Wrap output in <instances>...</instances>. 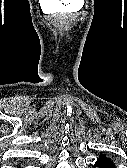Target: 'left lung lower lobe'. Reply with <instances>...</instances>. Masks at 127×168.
Returning a JSON list of instances; mask_svg holds the SVG:
<instances>
[{"instance_id": "1", "label": "left lung lower lobe", "mask_w": 127, "mask_h": 168, "mask_svg": "<svg viewBox=\"0 0 127 168\" xmlns=\"http://www.w3.org/2000/svg\"><path fill=\"white\" fill-rule=\"evenodd\" d=\"M96 165L99 166V168H115L114 163L105 155H100Z\"/></svg>"}]
</instances>
